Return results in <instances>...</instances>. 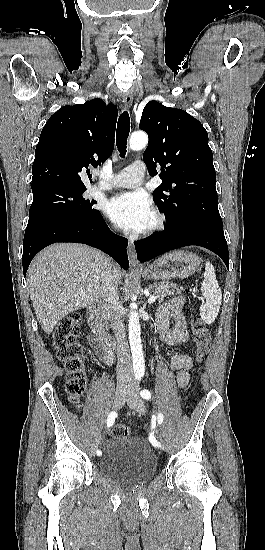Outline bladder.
<instances>
[{
  "label": "bladder",
  "instance_id": "31cf9c89",
  "mask_svg": "<svg viewBox=\"0 0 265 550\" xmlns=\"http://www.w3.org/2000/svg\"><path fill=\"white\" fill-rule=\"evenodd\" d=\"M157 467L154 451L139 436L112 439L105 446L99 461L100 471L124 486L148 482L154 477Z\"/></svg>",
  "mask_w": 265,
  "mask_h": 550
}]
</instances>
